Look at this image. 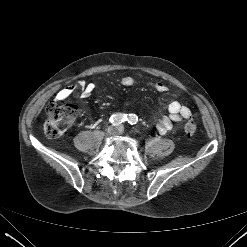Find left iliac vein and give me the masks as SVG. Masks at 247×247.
Here are the masks:
<instances>
[{
    "label": "left iliac vein",
    "instance_id": "1",
    "mask_svg": "<svg viewBox=\"0 0 247 247\" xmlns=\"http://www.w3.org/2000/svg\"><path fill=\"white\" fill-rule=\"evenodd\" d=\"M123 132V129L122 127L119 128V133H122Z\"/></svg>",
    "mask_w": 247,
    "mask_h": 247
}]
</instances>
